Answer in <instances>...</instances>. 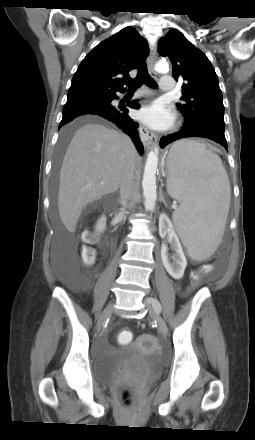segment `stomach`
Here are the masks:
<instances>
[{
    "mask_svg": "<svg viewBox=\"0 0 255 440\" xmlns=\"http://www.w3.org/2000/svg\"><path fill=\"white\" fill-rule=\"evenodd\" d=\"M167 165H169V156H168V161H167Z\"/></svg>",
    "mask_w": 255,
    "mask_h": 440,
    "instance_id": "obj_1",
    "label": "stomach"
}]
</instances>
